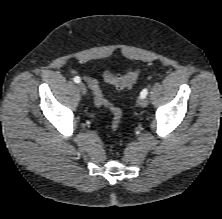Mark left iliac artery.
Segmentation results:
<instances>
[{"label": "left iliac artery", "instance_id": "1", "mask_svg": "<svg viewBox=\"0 0 222 219\" xmlns=\"http://www.w3.org/2000/svg\"><path fill=\"white\" fill-rule=\"evenodd\" d=\"M147 94H148V90H147V89H143V90L141 91V93H140V96H141V97H146Z\"/></svg>", "mask_w": 222, "mask_h": 219}]
</instances>
